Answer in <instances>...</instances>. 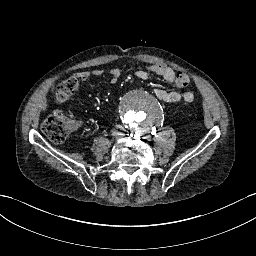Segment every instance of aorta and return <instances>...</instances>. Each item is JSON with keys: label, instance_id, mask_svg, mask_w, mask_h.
<instances>
[{"label": "aorta", "instance_id": "obj_1", "mask_svg": "<svg viewBox=\"0 0 256 256\" xmlns=\"http://www.w3.org/2000/svg\"><path fill=\"white\" fill-rule=\"evenodd\" d=\"M121 113L129 125L136 128H145L157 120L160 113V104L152 92L145 89H136L124 97L121 104Z\"/></svg>", "mask_w": 256, "mask_h": 256}]
</instances>
